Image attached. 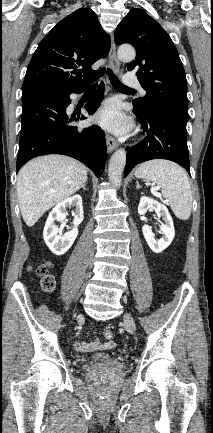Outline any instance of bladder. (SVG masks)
Here are the masks:
<instances>
[{
    "instance_id": "obj_1",
    "label": "bladder",
    "mask_w": 213,
    "mask_h": 433,
    "mask_svg": "<svg viewBox=\"0 0 213 433\" xmlns=\"http://www.w3.org/2000/svg\"><path fill=\"white\" fill-rule=\"evenodd\" d=\"M112 357V354L110 353H97L94 354L90 360L94 361V362H98V361H104V360H108Z\"/></svg>"
}]
</instances>
